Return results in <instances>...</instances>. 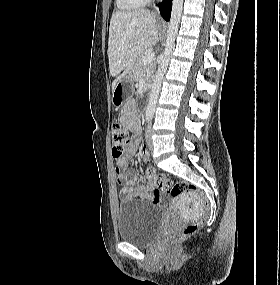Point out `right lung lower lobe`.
<instances>
[{
    "mask_svg": "<svg viewBox=\"0 0 280 285\" xmlns=\"http://www.w3.org/2000/svg\"><path fill=\"white\" fill-rule=\"evenodd\" d=\"M159 8L162 17L166 21H169L171 15L172 0H163V2L159 5Z\"/></svg>",
    "mask_w": 280,
    "mask_h": 285,
    "instance_id": "98d812e1",
    "label": "right lung lower lobe"
}]
</instances>
